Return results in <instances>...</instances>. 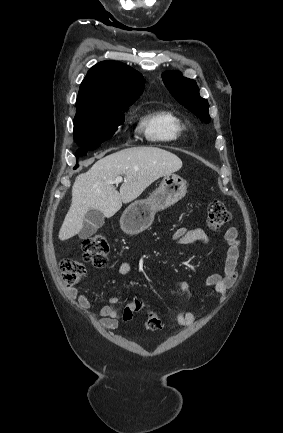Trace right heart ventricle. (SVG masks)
Wrapping results in <instances>:
<instances>
[{
    "mask_svg": "<svg viewBox=\"0 0 283 433\" xmlns=\"http://www.w3.org/2000/svg\"><path fill=\"white\" fill-rule=\"evenodd\" d=\"M136 130L151 141H175L185 132L181 119L172 112L159 110L140 115Z\"/></svg>",
    "mask_w": 283,
    "mask_h": 433,
    "instance_id": "obj_1",
    "label": "right heart ventricle"
}]
</instances>
